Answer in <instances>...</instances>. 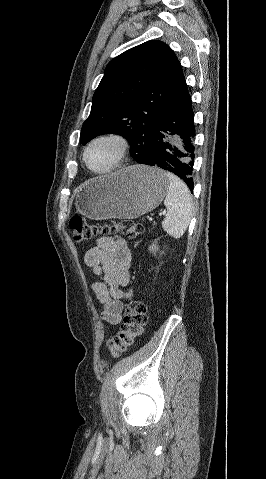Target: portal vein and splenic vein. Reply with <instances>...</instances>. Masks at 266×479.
Instances as JSON below:
<instances>
[{"label": "portal vein and splenic vein", "mask_w": 266, "mask_h": 479, "mask_svg": "<svg viewBox=\"0 0 266 479\" xmlns=\"http://www.w3.org/2000/svg\"><path fill=\"white\" fill-rule=\"evenodd\" d=\"M160 215H161V216H165V215H166V211H163Z\"/></svg>", "instance_id": "18ae733b"}]
</instances>
